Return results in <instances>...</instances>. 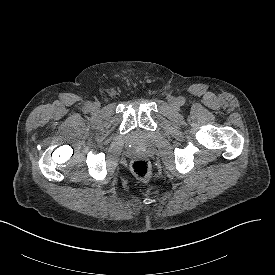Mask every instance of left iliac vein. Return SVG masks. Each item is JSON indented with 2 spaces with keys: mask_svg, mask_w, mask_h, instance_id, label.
Here are the masks:
<instances>
[{
  "mask_svg": "<svg viewBox=\"0 0 275 275\" xmlns=\"http://www.w3.org/2000/svg\"><path fill=\"white\" fill-rule=\"evenodd\" d=\"M168 102L171 105V107L174 109H178L180 106L179 101L175 97H170L168 99Z\"/></svg>",
  "mask_w": 275,
  "mask_h": 275,
  "instance_id": "1",
  "label": "left iliac vein"
}]
</instances>
